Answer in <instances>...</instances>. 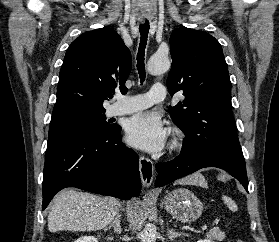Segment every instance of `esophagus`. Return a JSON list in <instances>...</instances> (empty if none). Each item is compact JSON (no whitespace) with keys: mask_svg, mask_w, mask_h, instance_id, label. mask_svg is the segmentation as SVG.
Masks as SVG:
<instances>
[{"mask_svg":"<svg viewBox=\"0 0 279 242\" xmlns=\"http://www.w3.org/2000/svg\"><path fill=\"white\" fill-rule=\"evenodd\" d=\"M139 171L141 176V182L143 187L148 188L154 177V165L153 162L144 156L139 158Z\"/></svg>","mask_w":279,"mask_h":242,"instance_id":"1","label":"esophagus"}]
</instances>
